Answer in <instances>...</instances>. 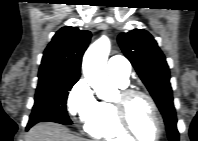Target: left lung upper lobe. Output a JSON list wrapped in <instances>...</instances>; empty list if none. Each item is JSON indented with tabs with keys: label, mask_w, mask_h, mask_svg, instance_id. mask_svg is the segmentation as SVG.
I'll return each instance as SVG.
<instances>
[{
	"label": "left lung upper lobe",
	"mask_w": 198,
	"mask_h": 141,
	"mask_svg": "<svg viewBox=\"0 0 198 141\" xmlns=\"http://www.w3.org/2000/svg\"><path fill=\"white\" fill-rule=\"evenodd\" d=\"M118 43L163 114L168 138L178 141L169 67L157 42L146 30L134 29L121 33Z\"/></svg>",
	"instance_id": "obj_1"
}]
</instances>
